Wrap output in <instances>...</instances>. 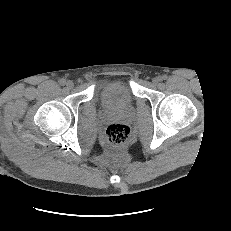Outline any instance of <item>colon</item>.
I'll list each match as a JSON object with an SVG mask.
<instances>
[{"label": "colon", "mask_w": 231, "mask_h": 231, "mask_svg": "<svg viewBox=\"0 0 231 231\" xmlns=\"http://www.w3.org/2000/svg\"><path fill=\"white\" fill-rule=\"evenodd\" d=\"M130 135V128L122 123H115L108 126L106 137L108 142L113 146L124 145Z\"/></svg>", "instance_id": "1"}]
</instances>
